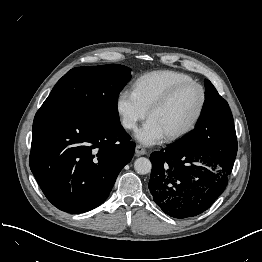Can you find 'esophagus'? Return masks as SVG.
Returning a JSON list of instances; mask_svg holds the SVG:
<instances>
[{"instance_id":"obj_1","label":"esophagus","mask_w":262,"mask_h":262,"mask_svg":"<svg viewBox=\"0 0 262 262\" xmlns=\"http://www.w3.org/2000/svg\"><path fill=\"white\" fill-rule=\"evenodd\" d=\"M135 153L137 156H141L147 154V150L141 145H136Z\"/></svg>"}]
</instances>
